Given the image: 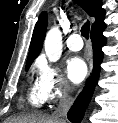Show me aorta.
Segmentation results:
<instances>
[{
	"instance_id": "762f6f07",
	"label": "aorta",
	"mask_w": 118,
	"mask_h": 123,
	"mask_svg": "<svg viewBox=\"0 0 118 123\" xmlns=\"http://www.w3.org/2000/svg\"><path fill=\"white\" fill-rule=\"evenodd\" d=\"M62 34L58 27L51 28L45 37V53L50 62H57L62 55Z\"/></svg>"
}]
</instances>
